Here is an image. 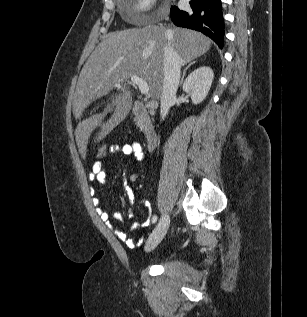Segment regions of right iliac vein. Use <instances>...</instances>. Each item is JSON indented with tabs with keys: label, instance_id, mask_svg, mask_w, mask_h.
Segmentation results:
<instances>
[{
	"label": "right iliac vein",
	"instance_id": "right-iliac-vein-1",
	"mask_svg": "<svg viewBox=\"0 0 307 317\" xmlns=\"http://www.w3.org/2000/svg\"><path fill=\"white\" fill-rule=\"evenodd\" d=\"M170 224V217L167 213L163 214L155 229L151 233L147 243L146 250L154 249L164 238Z\"/></svg>",
	"mask_w": 307,
	"mask_h": 317
}]
</instances>
